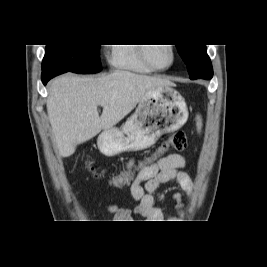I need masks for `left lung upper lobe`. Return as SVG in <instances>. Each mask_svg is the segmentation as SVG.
Segmentation results:
<instances>
[{
  "label": "left lung upper lobe",
  "instance_id": "5c2ea615",
  "mask_svg": "<svg viewBox=\"0 0 267 267\" xmlns=\"http://www.w3.org/2000/svg\"><path fill=\"white\" fill-rule=\"evenodd\" d=\"M178 53L187 65L190 79L213 74L212 64L205 45H177Z\"/></svg>",
  "mask_w": 267,
  "mask_h": 267
}]
</instances>
